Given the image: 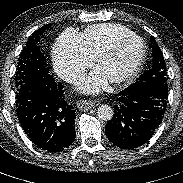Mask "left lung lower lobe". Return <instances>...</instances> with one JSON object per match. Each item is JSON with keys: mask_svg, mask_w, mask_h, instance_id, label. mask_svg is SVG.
I'll return each instance as SVG.
<instances>
[{"mask_svg": "<svg viewBox=\"0 0 183 183\" xmlns=\"http://www.w3.org/2000/svg\"><path fill=\"white\" fill-rule=\"evenodd\" d=\"M115 114L107 123L105 133L117 147L134 149L146 143L162 123L167 100L129 87L118 93Z\"/></svg>", "mask_w": 183, "mask_h": 183, "instance_id": "1", "label": "left lung lower lobe"}]
</instances>
